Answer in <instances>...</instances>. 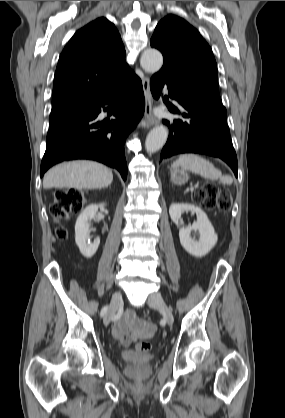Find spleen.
Wrapping results in <instances>:
<instances>
[{"mask_svg":"<svg viewBox=\"0 0 285 418\" xmlns=\"http://www.w3.org/2000/svg\"><path fill=\"white\" fill-rule=\"evenodd\" d=\"M173 167L189 170L210 180L220 179L225 184H232L231 176L222 175V172L214 167V165L205 158L196 154H183L175 162Z\"/></svg>","mask_w":285,"mask_h":418,"instance_id":"spleen-1","label":"spleen"}]
</instances>
